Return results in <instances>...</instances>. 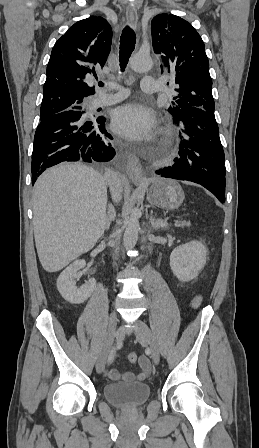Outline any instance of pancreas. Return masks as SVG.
<instances>
[{
    "label": "pancreas",
    "instance_id": "cf45deb5",
    "mask_svg": "<svg viewBox=\"0 0 259 448\" xmlns=\"http://www.w3.org/2000/svg\"><path fill=\"white\" fill-rule=\"evenodd\" d=\"M175 226H176V228H184V226H187V228H190L191 222H176Z\"/></svg>",
    "mask_w": 259,
    "mask_h": 448
}]
</instances>
